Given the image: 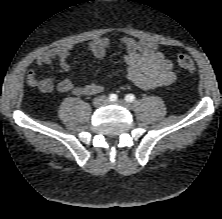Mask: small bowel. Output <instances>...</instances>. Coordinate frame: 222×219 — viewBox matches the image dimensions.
<instances>
[{
  "label": "small bowel",
  "instance_id": "1",
  "mask_svg": "<svg viewBox=\"0 0 222 219\" xmlns=\"http://www.w3.org/2000/svg\"><path fill=\"white\" fill-rule=\"evenodd\" d=\"M122 44L126 49L124 62L126 64V78L143 90H150L167 86L175 82L177 75L174 65L165 54L160 51L157 44L139 40L132 37H123ZM112 46L108 38H95L88 45V51L96 58H103L106 50ZM73 46L64 44L41 53L37 60V67L57 61L63 70L71 71V64L67 61ZM27 83L37 87L43 93L52 92L54 89L61 93L76 96L94 95L103 90L98 83H89L83 86L76 85L71 78H65L57 84L51 78H39L38 69L31 70L27 75Z\"/></svg>",
  "mask_w": 222,
  "mask_h": 219
}]
</instances>
